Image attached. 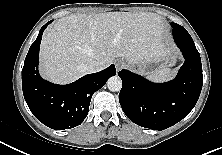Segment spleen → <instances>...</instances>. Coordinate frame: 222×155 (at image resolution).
I'll list each match as a JSON object with an SVG mask.
<instances>
[{"instance_id": "obj_1", "label": "spleen", "mask_w": 222, "mask_h": 155, "mask_svg": "<svg viewBox=\"0 0 222 155\" xmlns=\"http://www.w3.org/2000/svg\"><path fill=\"white\" fill-rule=\"evenodd\" d=\"M173 71L169 68L161 69L155 73H152L148 76L149 79L157 82H164L172 79Z\"/></svg>"}]
</instances>
